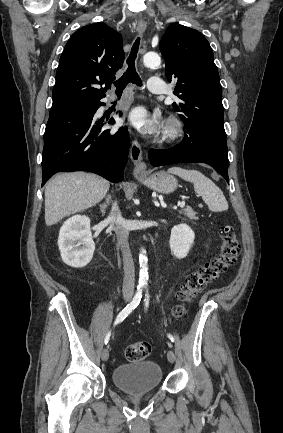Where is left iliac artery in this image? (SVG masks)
Here are the masks:
<instances>
[{
	"label": "left iliac artery",
	"instance_id": "44dca946",
	"mask_svg": "<svg viewBox=\"0 0 283 433\" xmlns=\"http://www.w3.org/2000/svg\"><path fill=\"white\" fill-rule=\"evenodd\" d=\"M145 308H147L148 307V305H149V295L148 294H146V298H145ZM168 338L172 341V342H174V337L171 335V334H168Z\"/></svg>",
	"mask_w": 283,
	"mask_h": 433
}]
</instances>
